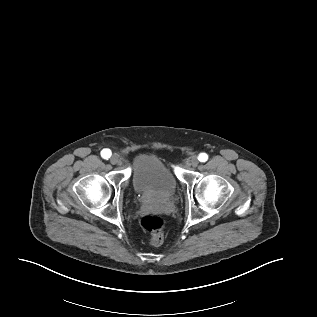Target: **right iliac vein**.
<instances>
[{
	"label": "right iliac vein",
	"mask_w": 317,
	"mask_h": 317,
	"mask_svg": "<svg viewBox=\"0 0 317 317\" xmlns=\"http://www.w3.org/2000/svg\"><path fill=\"white\" fill-rule=\"evenodd\" d=\"M110 162H111V164H113V165L118 164V163H119V157L116 156V155H113V156L110 158Z\"/></svg>",
	"instance_id": "63e3f726"
}]
</instances>
